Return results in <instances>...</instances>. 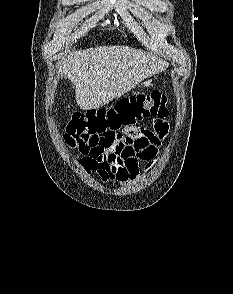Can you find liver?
I'll return each instance as SVG.
<instances>
[{"mask_svg": "<svg viewBox=\"0 0 233 294\" xmlns=\"http://www.w3.org/2000/svg\"><path fill=\"white\" fill-rule=\"evenodd\" d=\"M166 67L151 53L128 46H100L71 53L61 64V78L75 86L78 106L99 109Z\"/></svg>", "mask_w": 233, "mask_h": 294, "instance_id": "liver-1", "label": "liver"}]
</instances>
